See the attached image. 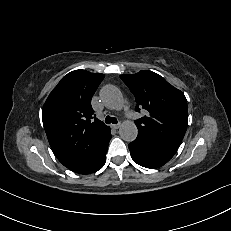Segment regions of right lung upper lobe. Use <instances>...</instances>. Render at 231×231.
<instances>
[{"mask_svg":"<svg viewBox=\"0 0 231 231\" xmlns=\"http://www.w3.org/2000/svg\"><path fill=\"white\" fill-rule=\"evenodd\" d=\"M104 74L75 70L68 73L48 96L42 111L48 141L67 168L75 166L92 141L109 128L95 118L91 98ZM95 117V116H94Z\"/></svg>","mask_w":231,"mask_h":231,"instance_id":"obj_1","label":"right lung upper lobe"}]
</instances>
